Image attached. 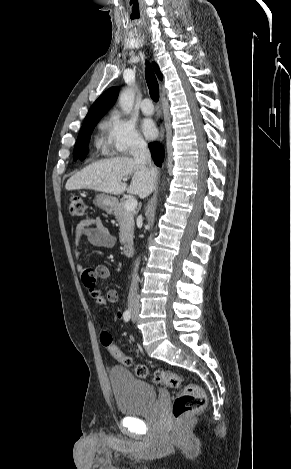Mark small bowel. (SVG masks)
I'll return each mask as SVG.
<instances>
[{"label":"small bowel","instance_id":"obj_1","mask_svg":"<svg viewBox=\"0 0 291 469\" xmlns=\"http://www.w3.org/2000/svg\"><path fill=\"white\" fill-rule=\"evenodd\" d=\"M86 238L90 244L96 247L110 248L115 244V238L111 235L107 227L99 218H89L80 221L74 229V253L78 259L81 255L80 243ZM78 271L82 272V281L88 289L92 298L101 296L106 304L116 303L118 300V292L115 289L107 291L106 295H102L96 286L98 279H107L110 275L109 269L105 265H98L92 269H85L81 264L77 265ZM118 317L121 318V313L118 312Z\"/></svg>","mask_w":291,"mask_h":469}]
</instances>
